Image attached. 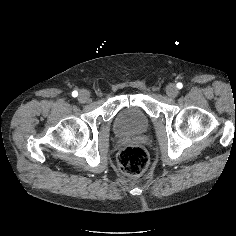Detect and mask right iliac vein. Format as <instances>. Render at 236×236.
<instances>
[{
  "label": "right iliac vein",
  "mask_w": 236,
  "mask_h": 236,
  "mask_svg": "<svg viewBox=\"0 0 236 236\" xmlns=\"http://www.w3.org/2000/svg\"><path fill=\"white\" fill-rule=\"evenodd\" d=\"M89 99H90V93L88 90H81L79 92L78 101L80 103H85V102L89 101Z\"/></svg>",
  "instance_id": "1"
}]
</instances>
